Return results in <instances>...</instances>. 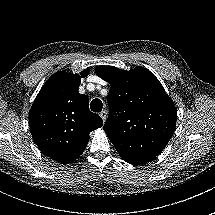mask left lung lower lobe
I'll list each match as a JSON object with an SVG mask.
<instances>
[{
  "mask_svg": "<svg viewBox=\"0 0 215 215\" xmlns=\"http://www.w3.org/2000/svg\"><path fill=\"white\" fill-rule=\"evenodd\" d=\"M123 160L126 161V162H128V163H130V164H133V165H138V164L146 163L145 161H139V160H125V159H123Z\"/></svg>",
  "mask_w": 215,
  "mask_h": 215,
  "instance_id": "left-lung-lower-lobe-1",
  "label": "left lung lower lobe"
}]
</instances>
